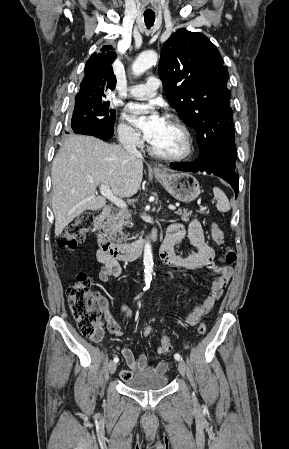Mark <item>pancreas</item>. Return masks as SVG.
Listing matches in <instances>:
<instances>
[{"mask_svg": "<svg viewBox=\"0 0 289 449\" xmlns=\"http://www.w3.org/2000/svg\"><path fill=\"white\" fill-rule=\"evenodd\" d=\"M175 213L180 215L183 221H189V217L192 215V212L186 209H178ZM130 218L131 214L122 210L108 216L104 224L106 236L113 242L122 243L126 239V235L123 233L124 227L133 225Z\"/></svg>", "mask_w": 289, "mask_h": 449, "instance_id": "1", "label": "pancreas"}]
</instances>
